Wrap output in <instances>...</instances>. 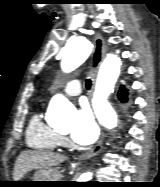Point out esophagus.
I'll list each match as a JSON object with an SVG mask.
<instances>
[{"instance_id":"esophagus-1","label":"esophagus","mask_w":160,"mask_h":187,"mask_svg":"<svg viewBox=\"0 0 160 187\" xmlns=\"http://www.w3.org/2000/svg\"><path fill=\"white\" fill-rule=\"evenodd\" d=\"M105 54H106L105 41L99 33H96L95 37H94V54H93L91 67H90V73L93 78V82L96 79L99 66L101 65L102 61L104 60ZM102 148H103V138H101L99 140V142L92 149L84 152L79 157V159L80 160L89 159V158L93 157L94 155H96L97 153H99Z\"/></svg>"}]
</instances>
